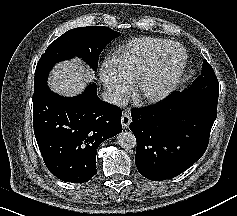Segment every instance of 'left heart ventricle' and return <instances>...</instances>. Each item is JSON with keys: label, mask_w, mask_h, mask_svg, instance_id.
<instances>
[{"label": "left heart ventricle", "mask_w": 237, "mask_h": 216, "mask_svg": "<svg viewBox=\"0 0 237 216\" xmlns=\"http://www.w3.org/2000/svg\"><path fill=\"white\" fill-rule=\"evenodd\" d=\"M182 56L177 50L158 61L151 74L145 79L143 92L155 93L168 83L172 82L179 72Z\"/></svg>", "instance_id": "left-heart-ventricle-1"}]
</instances>
